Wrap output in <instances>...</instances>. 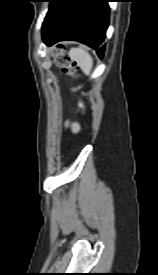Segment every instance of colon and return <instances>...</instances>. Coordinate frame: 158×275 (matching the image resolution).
Segmentation results:
<instances>
[{"instance_id": "colon-1", "label": "colon", "mask_w": 158, "mask_h": 275, "mask_svg": "<svg viewBox=\"0 0 158 275\" xmlns=\"http://www.w3.org/2000/svg\"><path fill=\"white\" fill-rule=\"evenodd\" d=\"M56 62L62 71L66 74L73 75L76 71L75 66L73 65L70 55L66 52L65 49L59 48L55 53Z\"/></svg>"}]
</instances>
